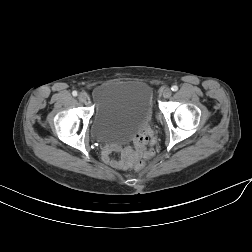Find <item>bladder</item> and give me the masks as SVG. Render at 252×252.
<instances>
[{
    "label": "bladder",
    "instance_id": "bladder-1",
    "mask_svg": "<svg viewBox=\"0 0 252 252\" xmlns=\"http://www.w3.org/2000/svg\"><path fill=\"white\" fill-rule=\"evenodd\" d=\"M92 96L91 132L102 144L126 142L152 120L151 92L142 81H106L94 88Z\"/></svg>",
    "mask_w": 252,
    "mask_h": 252
}]
</instances>
